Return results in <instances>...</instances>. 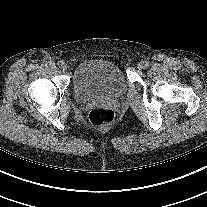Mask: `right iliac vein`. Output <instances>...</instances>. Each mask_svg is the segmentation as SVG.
Instances as JSON below:
<instances>
[{
	"instance_id": "1",
	"label": "right iliac vein",
	"mask_w": 207,
	"mask_h": 207,
	"mask_svg": "<svg viewBox=\"0 0 207 207\" xmlns=\"http://www.w3.org/2000/svg\"><path fill=\"white\" fill-rule=\"evenodd\" d=\"M61 69L65 72L68 70V65L66 63H64L62 66H61Z\"/></svg>"
}]
</instances>
